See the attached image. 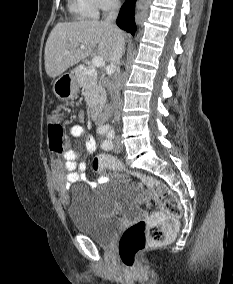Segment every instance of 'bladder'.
Segmentation results:
<instances>
[{
    "instance_id": "obj_1",
    "label": "bladder",
    "mask_w": 233,
    "mask_h": 284,
    "mask_svg": "<svg viewBox=\"0 0 233 284\" xmlns=\"http://www.w3.org/2000/svg\"><path fill=\"white\" fill-rule=\"evenodd\" d=\"M136 196L135 189L126 181L115 180L109 183L100 200H95L82 186L71 190L68 217L74 229L100 245H109L121 227V221L113 216L102 214L100 207L108 204L126 206Z\"/></svg>"
}]
</instances>
